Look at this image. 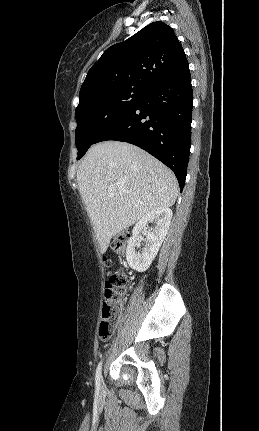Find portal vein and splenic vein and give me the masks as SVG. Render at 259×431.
Instances as JSON below:
<instances>
[{
	"label": "portal vein and splenic vein",
	"instance_id": "18ae733b",
	"mask_svg": "<svg viewBox=\"0 0 259 431\" xmlns=\"http://www.w3.org/2000/svg\"><path fill=\"white\" fill-rule=\"evenodd\" d=\"M125 191H126L125 188H123V187L120 188V192H125Z\"/></svg>",
	"mask_w": 259,
	"mask_h": 431
}]
</instances>
